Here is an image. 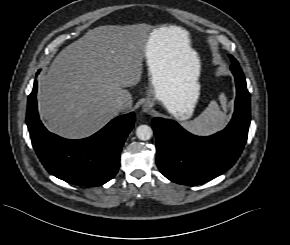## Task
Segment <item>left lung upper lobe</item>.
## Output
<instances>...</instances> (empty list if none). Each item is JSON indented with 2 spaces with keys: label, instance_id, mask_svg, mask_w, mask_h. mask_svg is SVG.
<instances>
[{
  "label": "left lung upper lobe",
  "instance_id": "1",
  "mask_svg": "<svg viewBox=\"0 0 290 245\" xmlns=\"http://www.w3.org/2000/svg\"><path fill=\"white\" fill-rule=\"evenodd\" d=\"M230 59H231V61H232V64H233V63L238 64V62L235 60V58H234L233 56L230 55Z\"/></svg>",
  "mask_w": 290,
  "mask_h": 245
}]
</instances>
